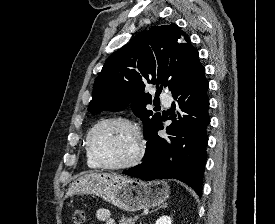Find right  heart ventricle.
I'll return each instance as SVG.
<instances>
[{
  "label": "right heart ventricle",
  "instance_id": "obj_1",
  "mask_svg": "<svg viewBox=\"0 0 275 224\" xmlns=\"http://www.w3.org/2000/svg\"><path fill=\"white\" fill-rule=\"evenodd\" d=\"M85 157H86V163L89 168L97 169L100 166L93 160V158L88 153L87 147L85 145Z\"/></svg>",
  "mask_w": 275,
  "mask_h": 224
}]
</instances>
